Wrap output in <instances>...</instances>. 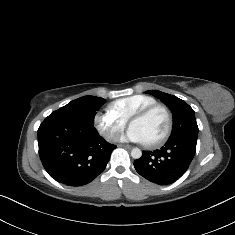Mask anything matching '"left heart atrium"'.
I'll list each match as a JSON object with an SVG mask.
<instances>
[{
  "label": "left heart atrium",
  "instance_id": "left-heart-atrium-1",
  "mask_svg": "<svg viewBox=\"0 0 235 235\" xmlns=\"http://www.w3.org/2000/svg\"><path fill=\"white\" fill-rule=\"evenodd\" d=\"M114 140L122 142L129 141L134 143L144 144L145 139L142 133L135 127H130L125 133H120L114 136Z\"/></svg>",
  "mask_w": 235,
  "mask_h": 235
}]
</instances>
